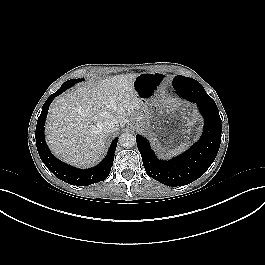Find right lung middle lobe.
<instances>
[{"label":"right lung middle lobe","mask_w":265,"mask_h":265,"mask_svg":"<svg viewBox=\"0 0 265 265\" xmlns=\"http://www.w3.org/2000/svg\"><path fill=\"white\" fill-rule=\"evenodd\" d=\"M83 81V79H71L66 81L59 90L65 91L66 89L70 88L71 86L75 85L76 83Z\"/></svg>","instance_id":"right-lung-middle-lobe-1"}]
</instances>
